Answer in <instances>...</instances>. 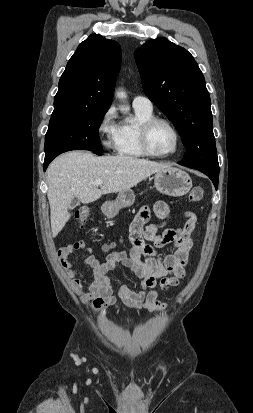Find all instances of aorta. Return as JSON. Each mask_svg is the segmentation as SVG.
Segmentation results:
<instances>
[{
	"label": "aorta",
	"instance_id": "aorta-1",
	"mask_svg": "<svg viewBox=\"0 0 253 413\" xmlns=\"http://www.w3.org/2000/svg\"><path fill=\"white\" fill-rule=\"evenodd\" d=\"M117 97L120 99L126 98V93L123 91H120L117 93Z\"/></svg>",
	"mask_w": 253,
	"mask_h": 413
}]
</instances>
